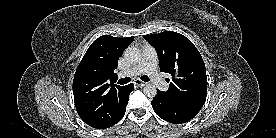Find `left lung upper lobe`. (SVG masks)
Here are the masks:
<instances>
[{"instance_id": "obj_1", "label": "left lung upper lobe", "mask_w": 276, "mask_h": 138, "mask_svg": "<svg viewBox=\"0 0 276 138\" xmlns=\"http://www.w3.org/2000/svg\"><path fill=\"white\" fill-rule=\"evenodd\" d=\"M157 51L160 69L172 76L164 94L175 101L201 109L207 93V76L204 61L185 36L165 31L143 36Z\"/></svg>"}]
</instances>
